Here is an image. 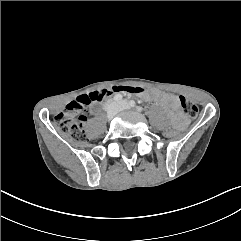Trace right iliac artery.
Wrapping results in <instances>:
<instances>
[{"instance_id": "82829eb1", "label": "right iliac artery", "mask_w": 241, "mask_h": 241, "mask_svg": "<svg viewBox=\"0 0 241 241\" xmlns=\"http://www.w3.org/2000/svg\"><path fill=\"white\" fill-rule=\"evenodd\" d=\"M120 100H122V95L121 94H117V95L114 96V101L118 102Z\"/></svg>"}]
</instances>
